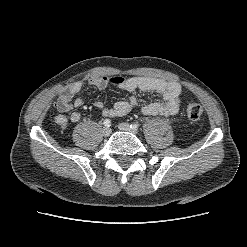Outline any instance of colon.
I'll use <instances>...</instances> for the list:
<instances>
[{"label":"colon","mask_w":247,"mask_h":247,"mask_svg":"<svg viewBox=\"0 0 247 247\" xmlns=\"http://www.w3.org/2000/svg\"><path fill=\"white\" fill-rule=\"evenodd\" d=\"M186 114L190 120L197 121L203 115V108L197 103H190L187 105Z\"/></svg>","instance_id":"obj_1"}]
</instances>
